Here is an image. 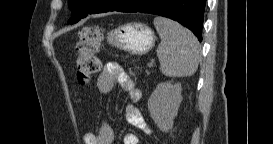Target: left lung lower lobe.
<instances>
[{"label": "left lung lower lobe", "mask_w": 273, "mask_h": 144, "mask_svg": "<svg viewBox=\"0 0 273 144\" xmlns=\"http://www.w3.org/2000/svg\"><path fill=\"white\" fill-rule=\"evenodd\" d=\"M205 5L206 0H97L94 9L80 17H71L68 24L90 14L110 11L150 13L179 22L201 41Z\"/></svg>", "instance_id": "left-lung-lower-lobe-1"}]
</instances>
